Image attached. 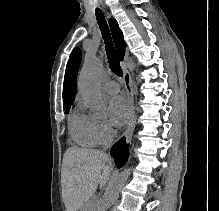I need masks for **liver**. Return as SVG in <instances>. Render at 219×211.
<instances>
[{"instance_id": "6515ba94", "label": "liver", "mask_w": 219, "mask_h": 211, "mask_svg": "<svg viewBox=\"0 0 219 211\" xmlns=\"http://www.w3.org/2000/svg\"><path fill=\"white\" fill-rule=\"evenodd\" d=\"M109 155L84 149L68 147L64 153L62 165V185L64 203L67 211H78L88 203L98 185L104 187L111 177Z\"/></svg>"}]
</instances>
